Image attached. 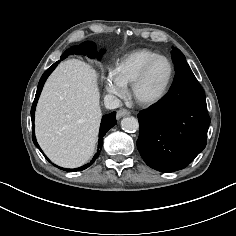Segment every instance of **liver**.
Instances as JSON below:
<instances>
[{
  "mask_svg": "<svg viewBox=\"0 0 236 236\" xmlns=\"http://www.w3.org/2000/svg\"><path fill=\"white\" fill-rule=\"evenodd\" d=\"M96 72L79 60L59 64L35 113L37 141L55 164L76 168L93 155L101 120Z\"/></svg>",
  "mask_w": 236,
  "mask_h": 236,
  "instance_id": "obj_1",
  "label": "liver"
}]
</instances>
